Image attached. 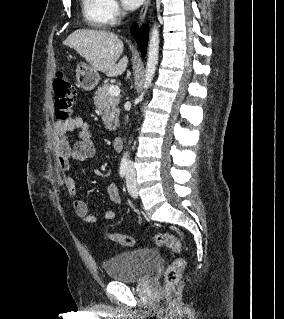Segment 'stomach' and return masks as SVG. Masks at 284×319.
I'll list each match as a JSON object with an SVG mask.
<instances>
[{"instance_id": "0dacf381", "label": "stomach", "mask_w": 284, "mask_h": 319, "mask_svg": "<svg viewBox=\"0 0 284 319\" xmlns=\"http://www.w3.org/2000/svg\"><path fill=\"white\" fill-rule=\"evenodd\" d=\"M78 85L85 91H91L99 82L98 71L85 63H79L76 69Z\"/></svg>"}]
</instances>
